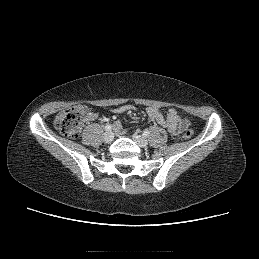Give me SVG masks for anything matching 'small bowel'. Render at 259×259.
I'll return each mask as SVG.
<instances>
[{
	"label": "small bowel",
	"mask_w": 259,
	"mask_h": 259,
	"mask_svg": "<svg viewBox=\"0 0 259 259\" xmlns=\"http://www.w3.org/2000/svg\"><path fill=\"white\" fill-rule=\"evenodd\" d=\"M136 110V107L131 104L121 105L112 109L113 114L131 113ZM149 120L160 127L167 129L172 135H178L183 130L187 129L190 122L181 117L175 109H169L166 114L159 107H149L147 109ZM97 118V114H92L90 119ZM115 127H119V123H115Z\"/></svg>",
	"instance_id": "obj_1"
}]
</instances>
